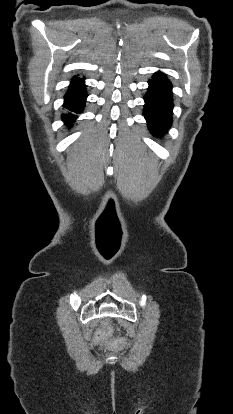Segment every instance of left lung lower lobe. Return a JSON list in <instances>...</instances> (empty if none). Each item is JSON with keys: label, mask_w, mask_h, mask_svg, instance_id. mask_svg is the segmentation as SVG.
I'll list each match as a JSON object with an SVG mask.
<instances>
[{"label": "left lung lower lobe", "mask_w": 233, "mask_h": 414, "mask_svg": "<svg viewBox=\"0 0 233 414\" xmlns=\"http://www.w3.org/2000/svg\"><path fill=\"white\" fill-rule=\"evenodd\" d=\"M148 83L143 115L149 130L156 136H162L172 123V84L160 71Z\"/></svg>", "instance_id": "1"}]
</instances>
